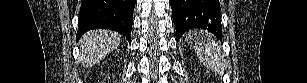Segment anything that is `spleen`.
<instances>
[{"mask_svg":"<svg viewBox=\"0 0 307 83\" xmlns=\"http://www.w3.org/2000/svg\"><path fill=\"white\" fill-rule=\"evenodd\" d=\"M195 43V52L200 62L216 73L221 74L225 69V59L222 50L215 41L202 31H195L186 37Z\"/></svg>","mask_w":307,"mask_h":83,"instance_id":"spleen-1","label":"spleen"}]
</instances>
